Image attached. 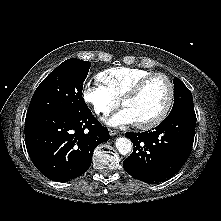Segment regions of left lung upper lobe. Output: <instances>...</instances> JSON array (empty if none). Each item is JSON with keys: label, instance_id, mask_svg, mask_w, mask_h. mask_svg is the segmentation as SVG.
<instances>
[{"label": "left lung upper lobe", "instance_id": "obj_1", "mask_svg": "<svg viewBox=\"0 0 221 221\" xmlns=\"http://www.w3.org/2000/svg\"><path fill=\"white\" fill-rule=\"evenodd\" d=\"M174 105L170 114L176 113H195L193 106V97L190 90L184 85V83L178 79L174 78ZM169 114V115H170Z\"/></svg>", "mask_w": 221, "mask_h": 221}]
</instances>
